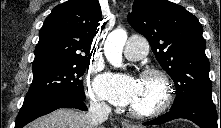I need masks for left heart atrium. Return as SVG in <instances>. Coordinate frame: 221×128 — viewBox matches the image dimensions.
I'll return each mask as SVG.
<instances>
[{"label":"left heart atrium","instance_id":"obj_1","mask_svg":"<svg viewBox=\"0 0 221 128\" xmlns=\"http://www.w3.org/2000/svg\"><path fill=\"white\" fill-rule=\"evenodd\" d=\"M141 81L134 76L107 75L98 83V90L110 102L127 106L132 105L140 88Z\"/></svg>","mask_w":221,"mask_h":128}]
</instances>
